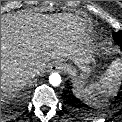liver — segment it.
I'll return each instance as SVG.
<instances>
[{
  "mask_svg": "<svg viewBox=\"0 0 122 122\" xmlns=\"http://www.w3.org/2000/svg\"><path fill=\"white\" fill-rule=\"evenodd\" d=\"M89 43L85 22L73 14L1 17V100L14 97L35 76L38 63L67 58L80 64Z\"/></svg>",
  "mask_w": 122,
  "mask_h": 122,
  "instance_id": "1",
  "label": "liver"
}]
</instances>
